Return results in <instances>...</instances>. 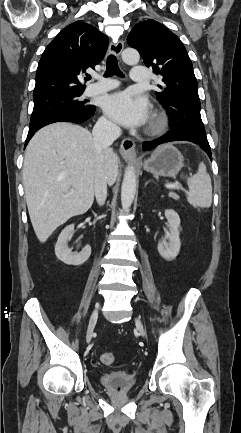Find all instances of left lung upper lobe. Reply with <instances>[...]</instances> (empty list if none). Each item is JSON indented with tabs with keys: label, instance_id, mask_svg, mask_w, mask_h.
<instances>
[{
	"label": "left lung upper lobe",
	"instance_id": "obj_1",
	"mask_svg": "<svg viewBox=\"0 0 241 433\" xmlns=\"http://www.w3.org/2000/svg\"><path fill=\"white\" fill-rule=\"evenodd\" d=\"M127 41L139 51L146 66L163 76L158 85L162 92H156V96L170 117L172 131L208 143L200 116L197 80L182 42L152 19L136 24Z\"/></svg>",
	"mask_w": 241,
	"mask_h": 433
}]
</instances>
